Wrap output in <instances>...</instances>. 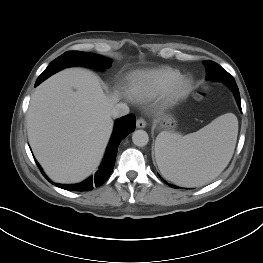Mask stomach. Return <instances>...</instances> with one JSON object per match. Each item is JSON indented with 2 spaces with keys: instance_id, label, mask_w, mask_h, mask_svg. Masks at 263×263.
Here are the masks:
<instances>
[{
  "instance_id": "obj_1",
  "label": "stomach",
  "mask_w": 263,
  "mask_h": 263,
  "mask_svg": "<svg viewBox=\"0 0 263 263\" xmlns=\"http://www.w3.org/2000/svg\"><path fill=\"white\" fill-rule=\"evenodd\" d=\"M158 124L162 128H170L175 124V120L171 116H164L158 121Z\"/></svg>"
}]
</instances>
